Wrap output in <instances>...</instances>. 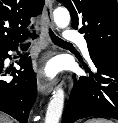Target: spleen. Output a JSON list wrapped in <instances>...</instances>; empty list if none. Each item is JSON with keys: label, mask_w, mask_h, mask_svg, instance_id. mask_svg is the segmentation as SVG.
Here are the masks:
<instances>
[{"label": "spleen", "mask_w": 118, "mask_h": 123, "mask_svg": "<svg viewBox=\"0 0 118 123\" xmlns=\"http://www.w3.org/2000/svg\"><path fill=\"white\" fill-rule=\"evenodd\" d=\"M85 123H113V122L105 118H92L87 120Z\"/></svg>", "instance_id": "obj_1"}]
</instances>
